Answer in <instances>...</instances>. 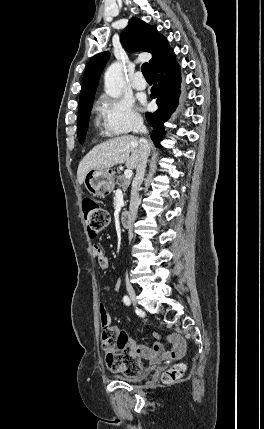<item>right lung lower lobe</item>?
I'll return each mask as SVG.
<instances>
[{
	"mask_svg": "<svg viewBox=\"0 0 264 429\" xmlns=\"http://www.w3.org/2000/svg\"><path fill=\"white\" fill-rule=\"evenodd\" d=\"M174 60L175 53L171 50L150 70L154 82L151 98L156 99L158 110L146 113V119L153 128L151 139L157 147L164 134V123L178 105L181 77L180 67Z\"/></svg>",
	"mask_w": 264,
	"mask_h": 429,
	"instance_id": "1",
	"label": "right lung lower lobe"
}]
</instances>
